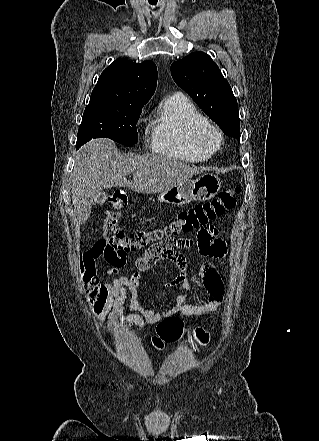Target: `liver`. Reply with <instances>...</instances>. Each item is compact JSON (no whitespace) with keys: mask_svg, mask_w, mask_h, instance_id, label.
Masks as SVG:
<instances>
[{"mask_svg":"<svg viewBox=\"0 0 319 441\" xmlns=\"http://www.w3.org/2000/svg\"><path fill=\"white\" fill-rule=\"evenodd\" d=\"M203 170L204 167L165 156L122 154L109 139L91 140L75 156L72 173L75 218L80 224L89 219L95 198L103 188L128 186L142 194L159 193ZM130 173L133 179L127 181Z\"/></svg>","mask_w":319,"mask_h":441,"instance_id":"1","label":"liver"}]
</instances>
